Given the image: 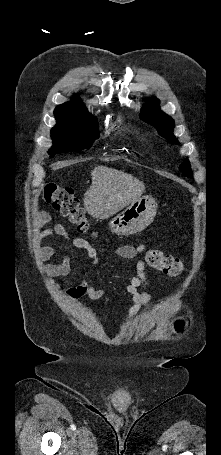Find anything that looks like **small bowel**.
Segmentation results:
<instances>
[{
  "mask_svg": "<svg viewBox=\"0 0 221 455\" xmlns=\"http://www.w3.org/2000/svg\"><path fill=\"white\" fill-rule=\"evenodd\" d=\"M49 221V216L45 213H41L37 216L36 225L40 229L37 239L42 241L49 236H59L67 238L66 233L61 225H54L45 227ZM69 241L73 248L84 252L91 260L93 265L98 263V251L93 248L86 240L78 237L69 238ZM115 253L123 259H134L138 256L137 249L133 246H124L115 251ZM39 257L42 260H50L58 258L61 262L57 265H53L50 268L52 276L65 277L72 272V258L71 255L58 247L46 245L40 248ZM126 291L132 295V305L128 309L125 319L127 321L133 319L140 308L152 299L150 292L149 281L146 276V267L142 259H139L135 268V275L132 276L129 283L126 286ZM67 296L78 303L84 297H89L92 300L102 299L106 292L104 289L97 288L88 281L70 287L66 290Z\"/></svg>",
  "mask_w": 221,
  "mask_h": 455,
  "instance_id": "obj_1",
  "label": "small bowel"
}]
</instances>
